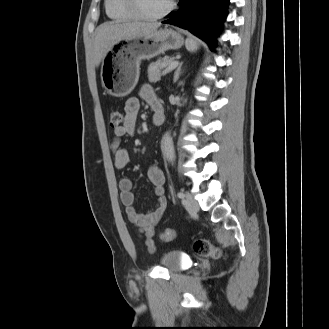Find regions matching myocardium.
Returning a JSON list of instances; mask_svg holds the SVG:
<instances>
[{"label": "myocardium", "instance_id": "obj_1", "mask_svg": "<svg viewBox=\"0 0 329 329\" xmlns=\"http://www.w3.org/2000/svg\"><path fill=\"white\" fill-rule=\"evenodd\" d=\"M123 2L134 18L146 22H155L165 18L175 7V0H170L169 5L161 13L156 15H146L142 12L138 0H123Z\"/></svg>", "mask_w": 329, "mask_h": 329}]
</instances>
